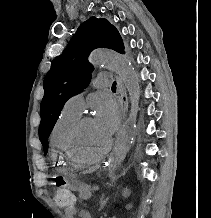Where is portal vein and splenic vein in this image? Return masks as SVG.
I'll list each match as a JSON object with an SVG mask.
<instances>
[{
	"instance_id": "obj_1",
	"label": "portal vein and splenic vein",
	"mask_w": 211,
	"mask_h": 218,
	"mask_svg": "<svg viewBox=\"0 0 211 218\" xmlns=\"http://www.w3.org/2000/svg\"><path fill=\"white\" fill-rule=\"evenodd\" d=\"M93 188L97 191V190L100 189L101 187H100V186H94Z\"/></svg>"
}]
</instances>
